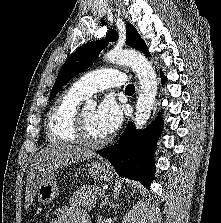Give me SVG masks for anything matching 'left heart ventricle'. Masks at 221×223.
Here are the masks:
<instances>
[{
	"label": "left heart ventricle",
	"instance_id": "1",
	"mask_svg": "<svg viewBox=\"0 0 221 223\" xmlns=\"http://www.w3.org/2000/svg\"><path fill=\"white\" fill-rule=\"evenodd\" d=\"M83 116L87 125L88 136L92 139H102L106 135L99 129L96 119V111L88 109L83 111Z\"/></svg>",
	"mask_w": 221,
	"mask_h": 223
}]
</instances>
